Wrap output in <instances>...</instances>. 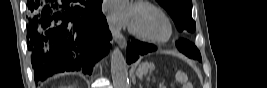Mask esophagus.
I'll list each match as a JSON object with an SVG mask.
<instances>
[{
	"label": "esophagus",
	"mask_w": 267,
	"mask_h": 88,
	"mask_svg": "<svg viewBox=\"0 0 267 88\" xmlns=\"http://www.w3.org/2000/svg\"><path fill=\"white\" fill-rule=\"evenodd\" d=\"M109 29L113 35L114 40L118 43V45L122 49H126L127 41L125 37L121 34V32L115 28V26L109 22Z\"/></svg>",
	"instance_id": "obj_1"
}]
</instances>
